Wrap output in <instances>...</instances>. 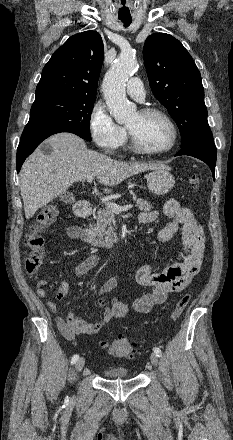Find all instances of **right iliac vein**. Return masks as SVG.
<instances>
[{"label": "right iliac vein", "mask_w": 233, "mask_h": 440, "mask_svg": "<svg viewBox=\"0 0 233 440\" xmlns=\"http://www.w3.org/2000/svg\"><path fill=\"white\" fill-rule=\"evenodd\" d=\"M84 365H85V359L84 358L78 359L75 364L76 372H80L83 369Z\"/></svg>", "instance_id": "obj_1"}]
</instances>
